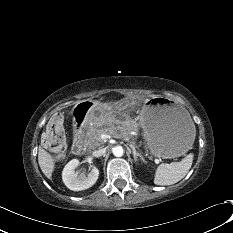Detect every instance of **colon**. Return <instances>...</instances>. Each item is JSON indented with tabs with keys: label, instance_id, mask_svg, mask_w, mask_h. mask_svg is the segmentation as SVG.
<instances>
[{
	"label": "colon",
	"instance_id": "1",
	"mask_svg": "<svg viewBox=\"0 0 233 233\" xmlns=\"http://www.w3.org/2000/svg\"><path fill=\"white\" fill-rule=\"evenodd\" d=\"M45 143L56 161H62L66 157L67 141L63 119L58 114L53 115L48 122Z\"/></svg>",
	"mask_w": 233,
	"mask_h": 233
}]
</instances>
